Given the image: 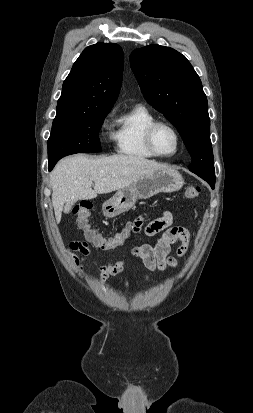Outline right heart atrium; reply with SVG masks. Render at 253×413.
<instances>
[{
  "mask_svg": "<svg viewBox=\"0 0 253 413\" xmlns=\"http://www.w3.org/2000/svg\"><path fill=\"white\" fill-rule=\"evenodd\" d=\"M112 115V112H110L107 116V118L103 121L102 123V128L103 129H110V121H109V117Z\"/></svg>",
  "mask_w": 253,
  "mask_h": 413,
  "instance_id": "1",
  "label": "right heart atrium"
}]
</instances>
